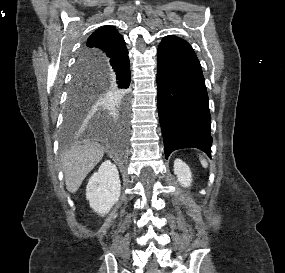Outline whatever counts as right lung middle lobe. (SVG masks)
Returning <instances> with one entry per match:
<instances>
[{"instance_id": "dd1d6c3e", "label": "right lung middle lobe", "mask_w": 285, "mask_h": 273, "mask_svg": "<svg viewBox=\"0 0 285 273\" xmlns=\"http://www.w3.org/2000/svg\"><path fill=\"white\" fill-rule=\"evenodd\" d=\"M103 94L116 96L124 102L126 91L117 90L111 85L106 87L101 75L82 71L76 66L68 94L65 128L67 130L75 128Z\"/></svg>"}]
</instances>
